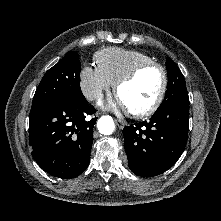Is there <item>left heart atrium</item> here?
<instances>
[{"label": "left heart atrium", "mask_w": 221, "mask_h": 221, "mask_svg": "<svg viewBox=\"0 0 221 221\" xmlns=\"http://www.w3.org/2000/svg\"><path fill=\"white\" fill-rule=\"evenodd\" d=\"M111 106L114 108H122V109L126 108L124 103L119 97H117L115 100L112 101Z\"/></svg>", "instance_id": "left-heart-atrium-1"}]
</instances>
